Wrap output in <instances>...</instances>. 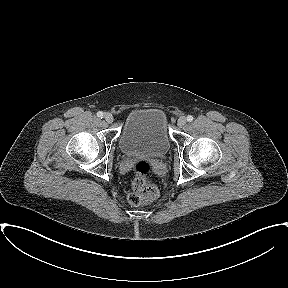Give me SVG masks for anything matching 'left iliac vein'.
<instances>
[{
	"label": "left iliac vein",
	"instance_id": "left-iliac-vein-1",
	"mask_svg": "<svg viewBox=\"0 0 288 288\" xmlns=\"http://www.w3.org/2000/svg\"><path fill=\"white\" fill-rule=\"evenodd\" d=\"M186 122H187V119L185 117H180L178 119L177 124H178L179 127H183V126H185Z\"/></svg>",
	"mask_w": 288,
	"mask_h": 288
}]
</instances>
